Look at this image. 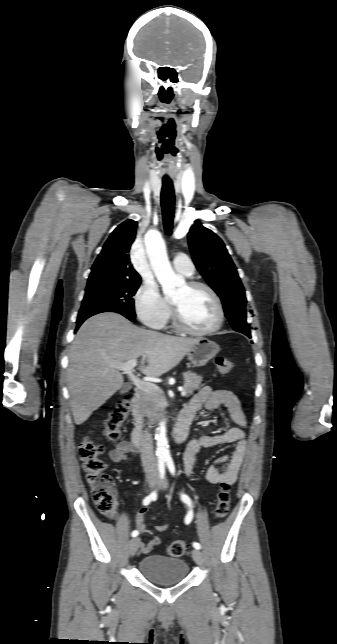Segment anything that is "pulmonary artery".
Wrapping results in <instances>:
<instances>
[{"instance_id": "e3ab8cb5", "label": "pulmonary artery", "mask_w": 337, "mask_h": 644, "mask_svg": "<svg viewBox=\"0 0 337 644\" xmlns=\"http://www.w3.org/2000/svg\"><path fill=\"white\" fill-rule=\"evenodd\" d=\"M173 266L177 272L185 276H191L194 272L192 261L184 254L177 255L173 259Z\"/></svg>"}]
</instances>
